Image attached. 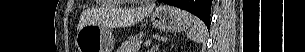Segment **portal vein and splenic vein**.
<instances>
[{"instance_id": "18ae733b", "label": "portal vein and splenic vein", "mask_w": 305, "mask_h": 52, "mask_svg": "<svg viewBox=\"0 0 305 52\" xmlns=\"http://www.w3.org/2000/svg\"><path fill=\"white\" fill-rule=\"evenodd\" d=\"M144 45L145 46H150L151 45V41L150 40L145 41Z\"/></svg>"}]
</instances>
